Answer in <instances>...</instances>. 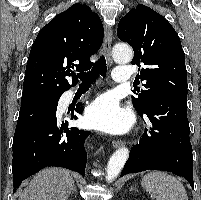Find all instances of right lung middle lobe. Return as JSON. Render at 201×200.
Listing matches in <instances>:
<instances>
[{
	"label": "right lung middle lobe",
	"instance_id": "dd1d6c3e",
	"mask_svg": "<svg viewBox=\"0 0 201 200\" xmlns=\"http://www.w3.org/2000/svg\"><path fill=\"white\" fill-rule=\"evenodd\" d=\"M61 95L58 96H36V97H22L21 98V105H25L28 103H32L35 101H40L43 99H50V98H60Z\"/></svg>",
	"mask_w": 201,
	"mask_h": 200
}]
</instances>
